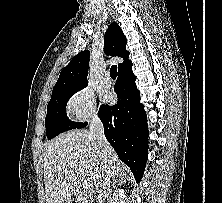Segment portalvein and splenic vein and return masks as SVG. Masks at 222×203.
<instances>
[{
    "instance_id": "18ae733b",
    "label": "portal vein and splenic vein",
    "mask_w": 222,
    "mask_h": 203,
    "mask_svg": "<svg viewBox=\"0 0 222 203\" xmlns=\"http://www.w3.org/2000/svg\"><path fill=\"white\" fill-rule=\"evenodd\" d=\"M83 188L88 189L89 187V183L86 180H83V184H82Z\"/></svg>"
}]
</instances>
